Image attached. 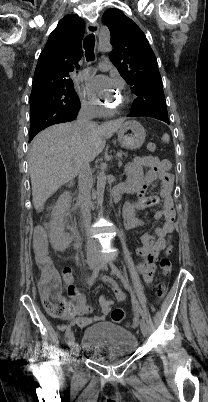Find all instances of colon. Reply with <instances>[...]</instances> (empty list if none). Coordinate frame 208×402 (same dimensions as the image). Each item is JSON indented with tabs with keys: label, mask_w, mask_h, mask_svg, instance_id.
I'll return each mask as SVG.
<instances>
[{
	"label": "colon",
	"mask_w": 208,
	"mask_h": 402,
	"mask_svg": "<svg viewBox=\"0 0 208 402\" xmlns=\"http://www.w3.org/2000/svg\"><path fill=\"white\" fill-rule=\"evenodd\" d=\"M147 150L153 152L156 150V145L153 142L148 143ZM48 232H36L33 243L37 249L35 256L39 268L42 270V282H39L38 289L43 295L42 306L48 308V314H73L72 299H62L61 283L64 282L59 277L56 269L55 262L51 261L48 253ZM172 253V246L166 250V255ZM172 271V264L168 257H165L159 262V272L162 275H170ZM166 293V285L158 283L154 288L155 299L161 301ZM112 321L125 325L127 324V315L122 308H115L111 314Z\"/></svg>",
	"instance_id": "1"
}]
</instances>
